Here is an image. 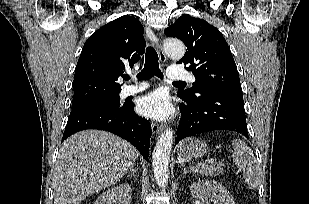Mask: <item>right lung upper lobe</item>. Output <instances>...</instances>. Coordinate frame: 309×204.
<instances>
[{"label":"right lung upper lobe","instance_id":"1","mask_svg":"<svg viewBox=\"0 0 309 204\" xmlns=\"http://www.w3.org/2000/svg\"><path fill=\"white\" fill-rule=\"evenodd\" d=\"M143 32L139 20L125 15L104 25L86 41L75 69L72 104L121 91L118 78L144 53Z\"/></svg>","mask_w":309,"mask_h":204}]
</instances>
